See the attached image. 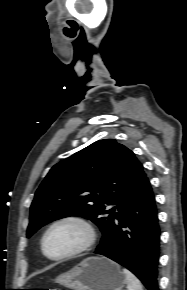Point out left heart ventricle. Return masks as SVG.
<instances>
[{
    "instance_id": "b2bd125f",
    "label": "left heart ventricle",
    "mask_w": 187,
    "mask_h": 290,
    "mask_svg": "<svg viewBox=\"0 0 187 290\" xmlns=\"http://www.w3.org/2000/svg\"><path fill=\"white\" fill-rule=\"evenodd\" d=\"M85 240L83 230L74 224H61L47 237L46 250L51 256H60L78 248Z\"/></svg>"
}]
</instances>
